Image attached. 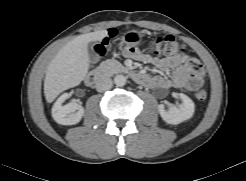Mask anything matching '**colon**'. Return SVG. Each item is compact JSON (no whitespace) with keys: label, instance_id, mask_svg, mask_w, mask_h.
Listing matches in <instances>:
<instances>
[{"label":"colon","instance_id":"5ec220e1","mask_svg":"<svg viewBox=\"0 0 246 181\" xmlns=\"http://www.w3.org/2000/svg\"><path fill=\"white\" fill-rule=\"evenodd\" d=\"M106 46L107 43L105 41L96 44L93 48L94 55L102 57L106 51ZM183 49L184 45L178 42L173 35H158L150 39V50L155 56L175 55L183 51ZM190 68L198 76L202 73V66L197 60L191 62ZM195 98L203 101L207 98V92L199 89L195 92Z\"/></svg>","mask_w":246,"mask_h":181}]
</instances>
